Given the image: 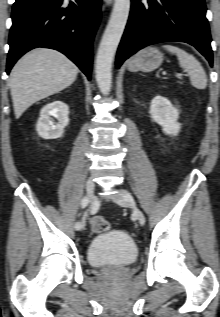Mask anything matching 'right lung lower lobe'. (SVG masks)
Instances as JSON below:
<instances>
[{"mask_svg": "<svg viewBox=\"0 0 220 317\" xmlns=\"http://www.w3.org/2000/svg\"><path fill=\"white\" fill-rule=\"evenodd\" d=\"M101 0H16L10 29L9 73L15 62L36 47L58 50L91 78L92 42L100 20Z\"/></svg>", "mask_w": 220, "mask_h": 317, "instance_id": "98d812e1", "label": "right lung lower lobe"}]
</instances>
